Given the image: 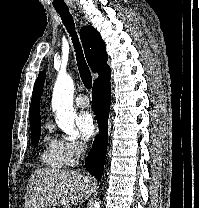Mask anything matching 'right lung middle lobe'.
Returning <instances> with one entry per match:
<instances>
[{
	"mask_svg": "<svg viewBox=\"0 0 199 208\" xmlns=\"http://www.w3.org/2000/svg\"><path fill=\"white\" fill-rule=\"evenodd\" d=\"M41 134V128L37 127L31 130V143L37 146Z\"/></svg>",
	"mask_w": 199,
	"mask_h": 208,
	"instance_id": "obj_1",
	"label": "right lung middle lobe"
}]
</instances>
